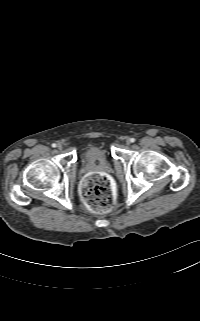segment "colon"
Instances as JSON below:
<instances>
[{"mask_svg":"<svg viewBox=\"0 0 200 321\" xmlns=\"http://www.w3.org/2000/svg\"><path fill=\"white\" fill-rule=\"evenodd\" d=\"M81 197L93 212H107L113 208L114 195L108 176L93 172L84 177L80 185Z\"/></svg>","mask_w":200,"mask_h":321,"instance_id":"obj_1","label":"colon"}]
</instances>
